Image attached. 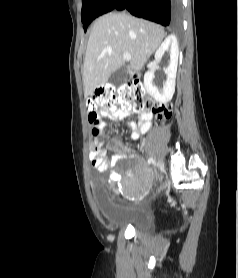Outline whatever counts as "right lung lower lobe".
I'll return each instance as SVG.
<instances>
[{
  "label": "right lung lower lobe",
  "mask_w": 238,
  "mask_h": 278,
  "mask_svg": "<svg viewBox=\"0 0 238 278\" xmlns=\"http://www.w3.org/2000/svg\"><path fill=\"white\" fill-rule=\"evenodd\" d=\"M114 9L163 26H177L181 21V0H102L94 9L91 21Z\"/></svg>",
  "instance_id": "1"
}]
</instances>
